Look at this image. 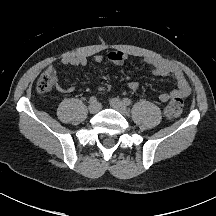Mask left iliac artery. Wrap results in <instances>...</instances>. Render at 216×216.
<instances>
[{
    "label": "left iliac artery",
    "mask_w": 216,
    "mask_h": 216,
    "mask_svg": "<svg viewBox=\"0 0 216 216\" xmlns=\"http://www.w3.org/2000/svg\"><path fill=\"white\" fill-rule=\"evenodd\" d=\"M123 102H124V104L127 105V106H130V105L132 104V101H131V99H129V98H124V99H123Z\"/></svg>",
    "instance_id": "left-iliac-artery-1"
}]
</instances>
